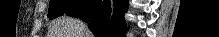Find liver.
<instances>
[{
  "label": "liver",
  "instance_id": "liver-1",
  "mask_svg": "<svg viewBox=\"0 0 219 37\" xmlns=\"http://www.w3.org/2000/svg\"><path fill=\"white\" fill-rule=\"evenodd\" d=\"M48 37H93L87 26L80 20L58 18L52 22Z\"/></svg>",
  "mask_w": 219,
  "mask_h": 37
}]
</instances>
